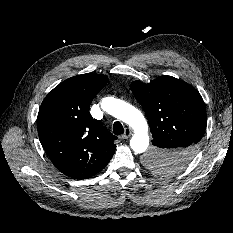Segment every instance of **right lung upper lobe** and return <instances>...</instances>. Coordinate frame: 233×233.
<instances>
[{"label": "right lung upper lobe", "mask_w": 233, "mask_h": 233, "mask_svg": "<svg viewBox=\"0 0 233 233\" xmlns=\"http://www.w3.org/2000/svg\"><path fill=\"white\" fill-rule=\"evenodd\" d=\"M107 81L105 75L95 73L71 77L49 92L40 106V142L53 165L73 179L97 174L114 154L117 137L89 113Z\"/></svg>", "instance_id": "1"}]
</instances>
